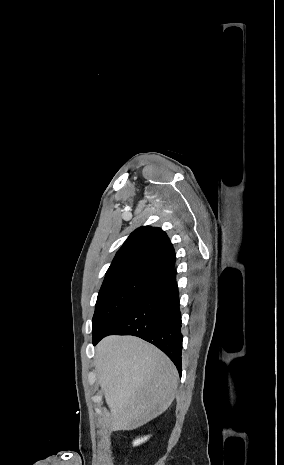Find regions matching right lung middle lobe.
<instances>
[{"instance_id":"dd1d6c3e","label":"right lung middle lobe","mask_w":284,"mask_h":465,"mask_svg":"<svg viewBox=\"0 0 284 465\" xmlns=\"http://www.w3.org/2000/svg\"><path fill=\"white\" fill-rule=\"evenodd\" d=\"M153 282L152 279L134 276L105 279L98 294L92 319L93 338L97 337L111 321L130 306Z\"/></svg>"}]
</instances>
